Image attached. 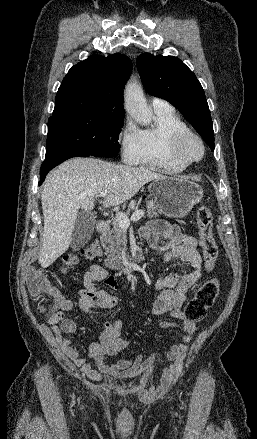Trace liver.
<instances>
[{
  "label": "liver",
  "instance_id": "obj_1",
  "mask_svg": "<svg viewBox=\"0 0 257 439\" xmlns=\"http://www.w3.org/2000/svg\"><path fill=\"white\" fill-rule=\"evenodd\" d=\"M163 177L149 168L94 158H73L59 165L47 177L41 194L44 231L38 262L42 268L67 251L79 209L90 213L101 191H108L103 206H116L135 196L146 183Z\"/></svg>",
  "mask_w": 257,
  "mask_h": 439
}]
</instances>
